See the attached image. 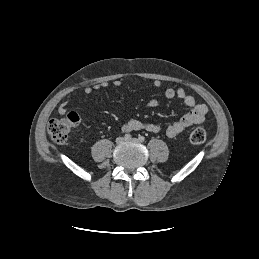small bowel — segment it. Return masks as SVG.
Listing matches in <instances>:
<instances>
[{"label":"small bowel","mask_w":259,"mask_h":259,"mask_svg":"<svg viewBox=\"0 0 259 259\" xmlns=\"http://www.w3.org/2000/svg\"><path fill=\"white\" fill-rule=\"evenodd\" d=\"M109 85L108 82H101L93 87H86L84 93L86 95L91 94L93 89L105 88ZM112 85L115 87L121 86V81L115 79L112 81ZM155 88H160L162 82L160 80H155L153 82ZM164 97L166 99H178L182 101L188 108V112L181 117L176 122L168 125L165 128V133L169 138H174L185 130L189 129L194 125L201 124L205 120V116L208 112V107L205 104L197 103L195 98L188 94L183 88L173 89L167 88L164 92ZM159 104L158 99H151L148 102V106L151 108L157 107ZM67 111V102H63L58 107V112L60 114H65ZM162 126L157 123H143L137 119H131L126 124L123 125L122 130L124 132L146 130L149 132L157 133L161 131Z\"/></svg>","instance_id":"obj_1"}]
</instances>
